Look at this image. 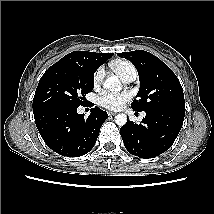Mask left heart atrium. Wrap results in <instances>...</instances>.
I'll use <instances>...</instances> for the list:
<instances>
[{
    "instance_id": "obj_1",
    "label": "left heart atrium",
    "mask_w": 214,
    "mask_h": 214,
    "mask_svg": "<svg viewBox=\"0 0 214 214\" xmlns=\"http://www.w3.org/2000/svg\"><path fill=\"white\" fill-rule=\"evenodd\" d=\"M132 97L129 91L105 92L98 98L100 106L109 110H119Z\"/></svg>"
}]
</instances>
